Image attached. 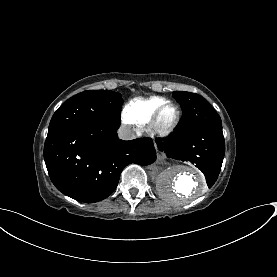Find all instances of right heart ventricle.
Instances as JSON below:
<instances>
[{"mask_svg":"<svg viewBox=\"0 0 277 277\" xmlns=\"http://www.w3.org/2000/svg\"><path fill=\"white\" fill-rule=\"evenodd\" d=\"M166 101L168 100L163 97L134 98L125 105L123 117L130 123L145 125L149 122L156 108Z\"/></svg>","mask_w":277,"mask_h":277,"instance_id":"obj_1","label":"right heart ventricle"}]
</instances>
